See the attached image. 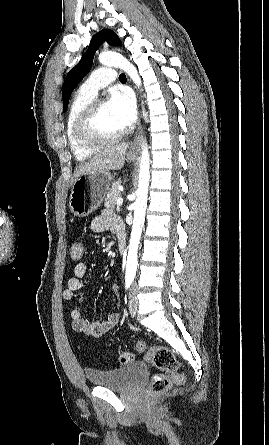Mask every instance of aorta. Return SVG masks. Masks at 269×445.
<instances>
[{"mask_svg": "<svg viewBox=\"0 0 269 445\" xmlns=\"http://www.w3.org/2000/svg\"><path fill=\"white\" fill-rule=\"evenodd\" d=\"M98 60L102 65L117 67L124 70L136 84V86H138V88L141 86V78L136 67L122 55L114 52H102L99 55ZM141 148L142 152L140 158L138 188L136 191V200L134 202V220L128 245L126 262L127 276H135L136 274L138 264V247L145 221L148 187L150 181V154L146 140L143 141Z\"/></svg>", "mask_w": 269, "mask_h": 445, "instance_id": "aorta-1", "label": "aorta"}]
</instances>
